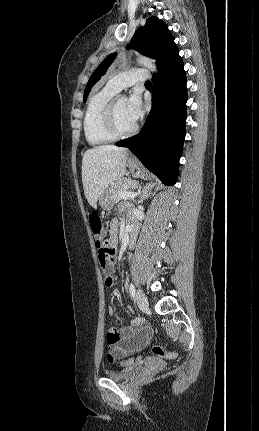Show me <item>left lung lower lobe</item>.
<instances>
[{
    "mask_svg": "<svg viewBox=\"0 0 259 431\" xmlns=\"http://www.w3.org/2000/svg\"><path fill=\"white\" fill-rule=\"evenodd\" d=\"M158 67L160 73L152 78V109L141 132L116 145L128 147L165 185H173L178 177L187 117L186 74L174 42L165 50Z\"/></svg>",
    "mask_w": 259,
    "mask_h": 431,
    "instance_id": "1",
    "label": "left lung lower lobe"
}]
</instances>
